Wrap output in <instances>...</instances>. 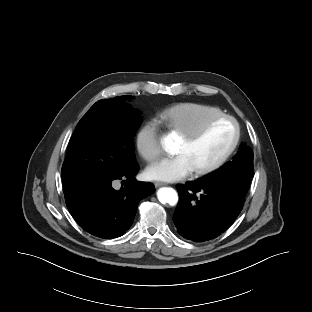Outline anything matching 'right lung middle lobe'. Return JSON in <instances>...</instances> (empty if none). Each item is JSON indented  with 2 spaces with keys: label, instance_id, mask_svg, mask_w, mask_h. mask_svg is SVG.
I'll return each mask as SVG.
<instances>
[{
  "label": "right lung middle lobe",
  "instance_id": "dd1d6c3e",
  "mask_svg": "<svg viewBox=\"0 0 312 312\" xmlns=\"http://www.w3.org/2000/svg\"><path fill=\"white\" fill-rule=\"evenodd\" d=\"M130 95L96 102L69 141L62 166L64 195L124 174L137 162L133 137L141 112L125 102Z\"/></svg>",
  "mask_w": 312,
  "mask_h": 312
}]
</instances>
